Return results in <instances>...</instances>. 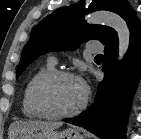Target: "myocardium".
<instances>
[{
    "instance_id": "1",
    "label": "myocardium",
    "mask_w": 141,
    "mask_h": 139,
    "mask_svg": "<svg viewBox=\"0 0 141 139\" xmlns=\"http://www.w3.org/2000/svg\"><path fill=\"white\" fill-rule=\"evenodd\" d=\"M65 77L77 79L83 87L84 95L80 104L74 109L66 112H55L48 105L46 100V90L53 81ZM33 98L35 105L45 117L51 119H62L75 116L85 109L89 100V90L84 80L78 74L69 70L60 69L47 73L37 82L34 88Z\"/></svg>"
}]
</instances>
